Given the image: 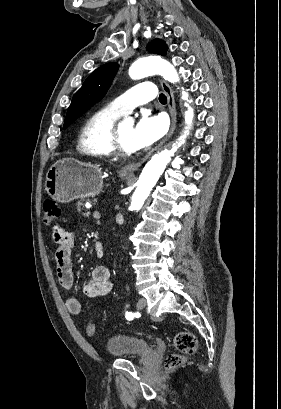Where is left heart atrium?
<instances>
[{"label": "left heart atrium", "instance_id": "1", "mask_svg": "<svg viewBox=\"0 0 281 409\" xmlns=\"http://www.w3.org/2000/svg\"><path fill=\"white\" fill-rule=\"evenodd\" d=\"M167 124L162 116H143L133 130V145L143 149L158 141L166 132Z\"/></svg>", "mask_w": 281, "mask_h": 409}]
</instances>
